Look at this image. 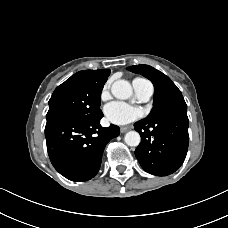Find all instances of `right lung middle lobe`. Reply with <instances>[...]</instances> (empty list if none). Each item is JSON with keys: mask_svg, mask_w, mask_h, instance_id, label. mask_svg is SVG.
Returning a JSON list of instances; mask_svg holds the SVG:
<instances>
[{"mask_svg": "<svg viewBox=\"0 0 228 228\" xmlns=\"http://www.w3.org/2000/svg\"><path fill=\"white\" fill-rule=\"evenodd\" d=\"M110 70L99 79L87 81L71 76L59 85L49 100L47 124L61 118L91 119L102 113L100 97Z\"/></svg>", "mask_w": 228, "mask_h": 228, "instance_id": "dd1d6c3e", "label": "right lung middle lobe"}]
</instances>
